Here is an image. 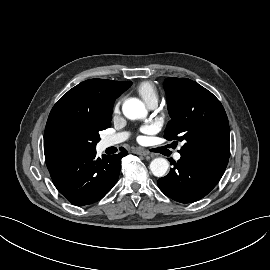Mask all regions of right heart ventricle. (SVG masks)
I'll return each instance as SVG.
<instances>
[{"label":"right heart ventricle","instance_id":"obj_1","mask_svg":"<svg viewBox=\"0 0 270 270\" xmlns=\"http://www.w3.org/2000/svg\"><path fill=\"white\" fill-rule=\"evenodd\" d=\"M137 92L148 105L151 101H158V91L153 83L144 81L137 86Z\"/></svg>","mask_w":270,"mask_h":270}]
</instances>
